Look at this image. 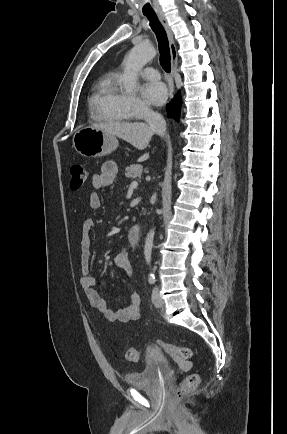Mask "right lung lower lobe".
Wrapping results in <instances>:
<instances>
[{"mask_svg":"<svg viewBox=\"0 0 287 434\" xmlns=\"http://www.w3.org/2000/svg\"><path fill=\"white\" fill-rule=\"evenodd\" d=\"M181 111V95L180 92L175 96L174 99L167 105L168 117H173L179 121Z\"/></svg>","mask_w":287,"mask_h":434,"instance_id":"right-lung-lower-lobe-1","label":"right lung lower lobe"}]
</instances>
